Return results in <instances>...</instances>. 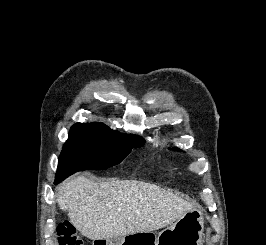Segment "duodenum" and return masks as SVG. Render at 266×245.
<instances>
[{"instance_id": "1", "label": "duodenum", "mask_w": 266, "mask_h": 245, "mask_svg": "<svg viewBox=\"0 0 266 245\" xmlns=\"http://www.w3.org/2000/svg\"><path fill=\"white\" fill-rule=\"evenodd\" d=\"M96 245H107L108 237H95Z\"/></svg>"}]
</instances>
